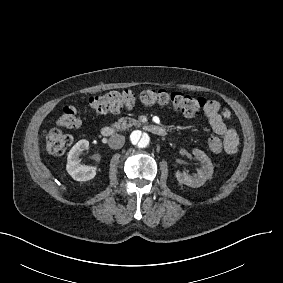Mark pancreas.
Returning a JSON list of instances; mask_svg holds the SVG:
<instances>
[{"instance_id": "obj_1", "label": "pancreas", "mask_w": 283, "mask_h": 283, "mask_svg": "<svg viewBox=\"0 0 283 283\" xmlns=\"http://www.w3.org/2000/svg\"><path fill=\"white\" fill-rule=\"evenodd\" d=\"M139 125L138 121L133 118H120L118 122H115L111 126L115 128L117 131L119 130H126L132 126Z\"/></svg>"}]
</instances>
